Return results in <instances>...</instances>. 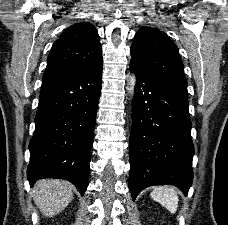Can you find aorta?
I'll return each mask as SVG.
<instances>
[{
	"mask_svg": "<svg viewBox=\"0 0 228 225\" xmlns=\"http://www.w3.org/2000/svg\"><path fill=\"white\" fill-rule=\"evenodd\" d=\"M129 84H130L129 90H130L131 94H133L134 86L136 84V76H135V74H130V76H129Z\"/></svg>",
	"mask_w": 228,
	"mask_h": 225,
	"instance_id": "aorta-1",
	"label": "aorta"
}]
</instances>
